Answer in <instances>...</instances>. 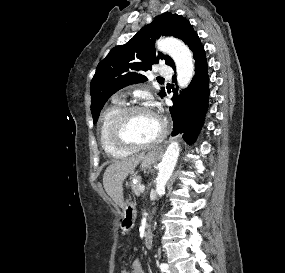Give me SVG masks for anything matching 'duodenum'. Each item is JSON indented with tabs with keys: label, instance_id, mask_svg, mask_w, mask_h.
<instances>
[{
	"label": "duodenum",
	"instance_id": "obj_1",
	"mask_svg": "<svg viewBox=\"0 0 285 273\" xmlns=\"http://www.w3.org/2000/svg\"><path fill=\"white\" fill-rule=\"evenodd\" d=\"M144 244L147 248L151 247L152 244V232L148 230L144 235Z\"/></svg>",
	"mask_w": 285,
	"mask_h": 273
}]
</instances>
